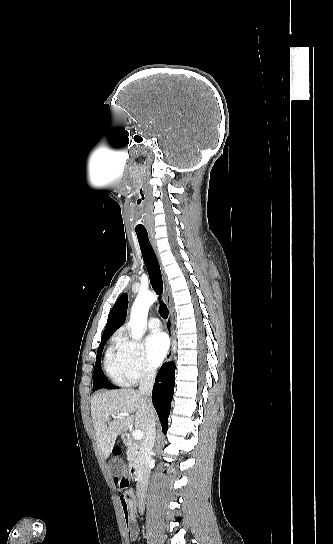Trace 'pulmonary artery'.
I'll list each match as a JSON object with an SVG mask.
<instances>
[{"mask_svg": "<svg viewBox=\"0 0 333 544\" xmlns=\"http://www.w3.org/2000/svg\"><path fill=\"white\" fill-rule=\"evenodd\" d=\"M148 327L152 332L160 331V321L156 317H152L148 321Z\"/></svg>", "mask_w": 333, "mask_h": 544, "instance_id": "obj_1", "label": "pulmonary artery"}]
</instances>
